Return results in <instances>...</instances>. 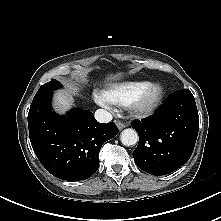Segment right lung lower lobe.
Returning <instances> with one entry per match:
<instances>
[{
  "label": "right lung lower lobe",
  "mask_w": 221,
  "mask_h": 221,
  "mask_svg": "<svg viewBox=\"0 0 221 221\" xmlns=\"http://www.w3.org/2000/svg\"><path fill=\"white\" fill-rule=\"evenodd\" d=\"M52 92L33 99L28 113L32 148L45 169L57 178L85 180L98 169L104 142L118 133L114 122L99 123L87 110L60 116L51 110Z\"/></svg>",
  "instance_id": "98d812e1"
}]
</instances>
